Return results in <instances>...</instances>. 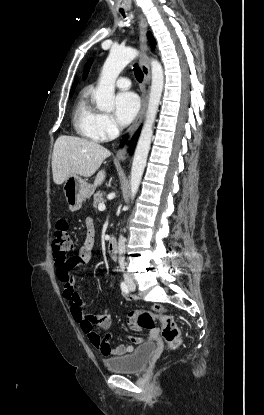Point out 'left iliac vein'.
Returning <instances> with one entry per match:
<instances>
[{
  "label": "left iliac vein",
  "instance_id": "4c4485c4",
  "mask_svg": "<svg viewBox=\"0 0 264 415\" xmlns=\"http://www.w3.org/2000/svg\"><path fill=\"white\" fill-rule=\"evenodd\" d=\"M129 289H130V291H134L135 290V285L134 284H130L129 285Z\"/></svg>",
  "mask_w": 264,
  "mask_h": 415
}]
</instances>
